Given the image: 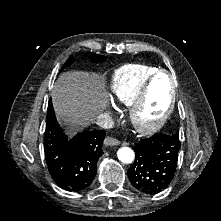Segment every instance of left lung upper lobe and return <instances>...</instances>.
<instances>
[{
    "mask_svg": "<svg viewBox=\"0 0 221 221\" xmlns=\"http://www.w3.org/2000/svg\"><path fill=\"white\" fill-rule=\"evenodd\" d=\"M174 135H177V136H179V134H178V133H176V134H174Z\"/></svg>",
    "mask_w": 221,
    "mask_h": 221,
    "instance_id": "1",
    "label": "left lung upper lobe"
}]
</instances>
